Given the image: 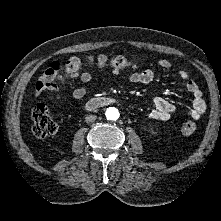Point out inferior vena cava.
<instances>
[{
  "instance_id": "602c4592",
  "label": "inferior vena cava",
  "mask_w": 221,
  "mask_h": 221,
  "mask_svg": "<svg viewBox=\"0 0 221 221\" xmlns=\"http://www.w3.org/2000/svg\"><path fill=\"white\" fill-rule=\"evenodd\" d=\"M97 116L96 115H87L85 117L86 123H93L96 120Z\"/></svg>"
}]
</instances>
